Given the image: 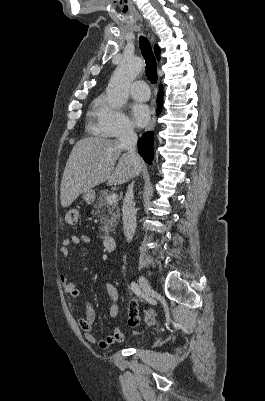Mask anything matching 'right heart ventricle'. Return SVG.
Returning a JSON list of instances; mask_svg holds the SVG:
<instances>
[{"mask_svg":"<svg viewBox=\"0 0 265 401\" xmlns=\"http://www.w3.org/2000/svg\"><path fill=\"white\" fill-rule=\"evenodd\" d=\"M101 101H102L101 97H97L92 101V103L90 105L89 115H92L94 117L97 115L99 108H100ZM96 134L98 136H103V133H101L98 129H96ZM105 142L110 143L109 140H105Z\"/></svg>","mask_w":265,"mask_h":401,"instance_id":"e07e8e85","label":"right heart ventricle"}]
</instances>
